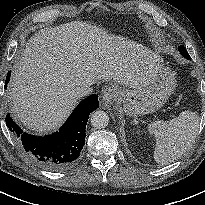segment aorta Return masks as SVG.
<instances>
[{
  "label": "aorta",
  "mask_w": 205,
  "mask_h": 205,
  "mask_svg": "<svg viewBox=\"0 0 205 205\" xmlns=\"http://www.w3.org/2000/svg\"><path fill=\"white\" fill-rule=\"evenodd\" d=\"M109 116L104 111H95L91 116V124L97 129L105 128L108 125Z\"/></svg>",
  "instance_id": "obj_1"
}]
</instances>
